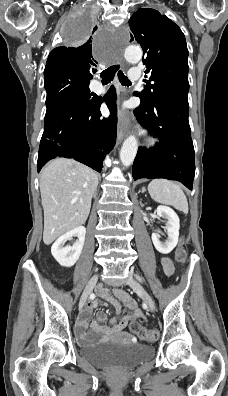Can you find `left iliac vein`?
<instances>
[{
	"mask_svg": "<svg viewBox=\"0 0 228 396\" xmlns=\"http://www.w3.org/2000/svg\"><path fill=\"white\" fill-rule=\"evenodd\" d=\"M126 283L144 300L152 312L156 310L153 298L138 281L133 278H128Z\"/></svg>",
	"mask_w": 228,
	"mask_h": 396,
	"instance_id": "1",
	"label": "left iliac vein"
}]
</instances>
